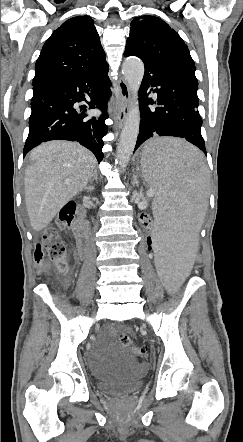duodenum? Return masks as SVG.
Segmentation results:
<instances>
[{
  "label": "duodenum",
  "mask_w": 243,
  "mask_h": 442,
  "mask_svg": "<svg viewBox=\"0 0 243 442\" xmlns=\"http://www.w3.org/2000/svg\"><path fill=\"white\" fill-rule=\"evenodd\" d=\"M87 233L88 228L83 219H79L75 227V235L78 244V249L82 255L87 253Z\"/></svg>",
  "instance_id": "obj_1"
}]
</instances>
